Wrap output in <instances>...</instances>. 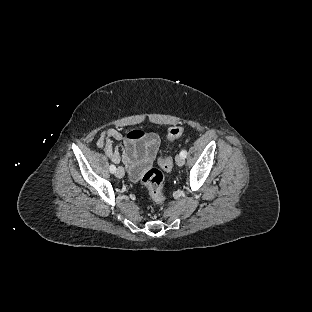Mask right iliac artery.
Returning a JSON list of instances; mask_svg holds the SVG:
<instances>
[{"instance_id":"obj_1","label":"right iliac artery","mask_w":312,"mask_h":312,"mask_svg":"<svg viewBox=\"0 0 312 312\" xmlns=\"http://www.w3.org/2000/svg\"><path fill=\"white\" fill-rule=\"evenodd\" d=\"M109 169H110L111 173H115L116 172V167L114 165H111Z\"/></svg>"}]
</instances>
